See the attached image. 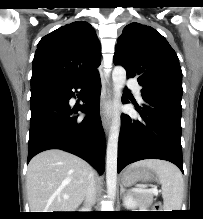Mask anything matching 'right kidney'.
<instances>
[{
	"instance_id": "ca27d5eb",
	"label": "right kidney",
	"mask_w": 203,
	"mask_h": 219,
	"mask_svg": "<svg viewBox=\"0 0 203 219\" xmlns=\"http://www.w3.org/2000/svg\"><path fill=\"white\" fill-rule=\"evenodd\" d=\"M80 212H86V211H89V210H85V209H82V210H79Z\"/></svg>"
}]
</instances>
